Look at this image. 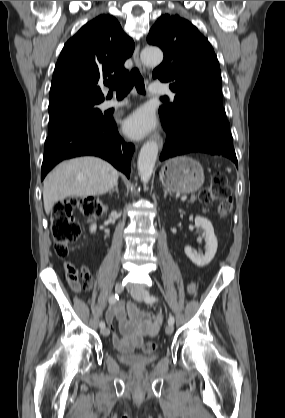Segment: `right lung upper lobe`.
<instances>
[{
	"mask_svg": "<svg viewBox=\"0 0 285 418\" xmlns=\"http://www.w3.org/2000/svg\"><path fill=\"white\" fill-rule=\"evenodd\" d=\"M134 42L111 15H100L85 24L64 45L51 82L49 106L72 101L101 103L100 84L122 80L124 62ZM112 96L108 93L107 99Z\"/></svg>",
	"mask_w": 285,
	"mask_h": 418,
	"instance_id": "cb5924a9",
	"label": "right lung upper lobe"
}]
</instances>
